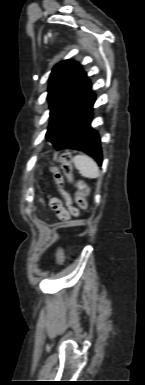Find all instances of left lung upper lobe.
<instances>
[{"label": "left lung upper lobe", "mask_w": 145, "mask_h": 385, "mask_svg": "<svg viewBox=\"0 0 145 385\" xmlns=\"http://www.w3.org/2000/svg\"><path fill=\"white\" fill-rule=\"evenodd\" d=\"M89 88L90 81L77 62L65 60L53 68L48 89L50 102V125L46 133L48 141Z\"/></svg>", "instance_id": "1"}]
</instances>
